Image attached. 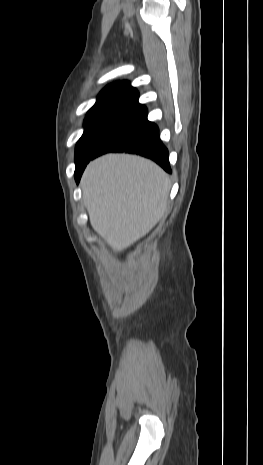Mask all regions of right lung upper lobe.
<instances>
[{
    "instance_id": "obj_1",
    "label": "right lung upper lobe",
    "mask_w": 263,
    "mask_h": 465,
    "mask_svg": "<svg viewBox=\"0 0 263 465\" xmlns=\"http://www.w3.org/2000/svg\"><path fill=\"white\" fill-rule=\"evenodd\" d=\"M138 92L127 81H119L106 86L99 94L97 102L105 101H137Z\"/></svg>"
}]
</instances>
